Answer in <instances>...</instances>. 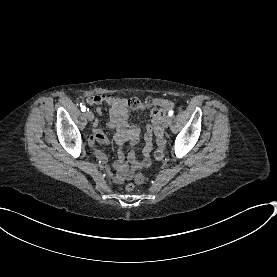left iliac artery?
I'll return each mask as SVG.
<instances>
[{"mask_svg":"<svg viewBox=\"0 0 277 277\" xmlns=\"http://www.w3.org/2000/svg\"><path fill=\"white\" fill-rule=\"evenodd\" d=\"M173 113H174V111H173V110H170L169 113H168V115H169V116H172Z\"/></svg>","mask_w":277,"mask_h":277,"instance_id":"left-iliac-artery-1","label":"left iliac artery"}]
</instances>
